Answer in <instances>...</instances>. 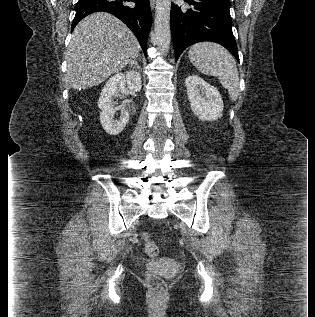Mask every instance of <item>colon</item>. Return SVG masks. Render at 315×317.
Masks as SVG:
<instances>
[{
    "instance_id": "1",
    "label": "colon",
    "mask_w": 315,
    "mask_h": 317,
    "mask_svg": "<svg viewBox=\"0 0 315 317\" xmlns=\"http://www.w3.org/2000/svg\"><path fill=\"white\" fill-rule=\"evenodd\" d=\"M143 239L146 253L151 257L157 256L159 249L151 239L150 235L147 233L144 234ZM146 281L155 294H162L166 290L164 281L154 273L148 272L146 274Z\"/></svg>"
}]
</instances>
